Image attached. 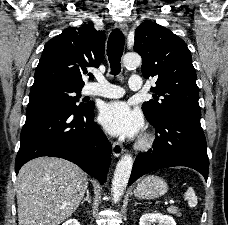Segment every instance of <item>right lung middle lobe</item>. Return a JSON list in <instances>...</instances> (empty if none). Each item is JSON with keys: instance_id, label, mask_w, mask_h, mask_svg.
Here are the masks:
<instances>
[{"instance_id": "right-lung-middle-lobe-1", "label": "right lung middle lobe", "mask_w": 228, "mask_h": 225, "mask_svg": "<svg viewBox=\"0 0 228 225\" xmlns=\"http://www.w3.org/2000/svg\"><path fill=\"white\" fill-rule=\"evenodd\" d=\"M81 88L69 86L63 83H42L34 85L30 91V100L27 108L47 104V103H64L71 105L76 109H84L89 104L79 102Z\"/></svg>"}]
</instances>
